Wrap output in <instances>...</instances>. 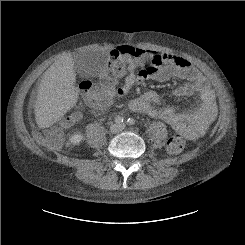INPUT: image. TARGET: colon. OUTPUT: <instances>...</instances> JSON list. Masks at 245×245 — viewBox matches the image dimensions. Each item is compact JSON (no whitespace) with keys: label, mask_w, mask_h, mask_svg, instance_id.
<instances>
[{"label":"colon","mask_w":245,"mask_h":245,"mask_svg":"<svg viewBox=\"0 0 245 245\" xmlns=\"http://www.w3.org/2000/svg\"><path fill=\"white\" fill-rule=\"evenodd\" d=\"M141 58V51L132 45L122 47V55L112 62L111 73L121 72L127 63L137 62ZM160 65L163 62H159ZM81 89L86 94L103 93L111 94L114 85L111 75H105L98 81H84ZM77 120V114H70L64 117L58 125L41 129L37 132V140L47 147H58L62 140L63 131L70 127ZM186 141L182 133L173 134L167 141V150L171 154H179L183 151Z\"/></svg>","instance_id":"obj_1"}]
</instances>
